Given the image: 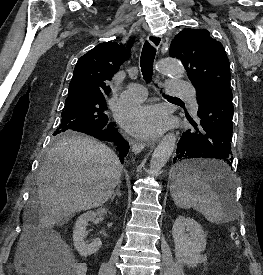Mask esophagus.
<instances>
[{
  "instance_id": "esophagus-1",
  "label": "esophagus",
  "mask_w": 263,
  "mask_h": 275,
  "mask_svg": "<svg viewBox=\"0 0 263 275\" xmlns=\"http://www.w3.org/2000/svg\"><path fill=\"white\" fill-rule=\"evenodd\" d=\"M148 41L157 50L160 48L161 43H162L161 37L158 35H155V34H149ZM155 142H156V140L148 141L147 143L133 140L131 142V148H132V151L134 154H139L144 149L145 146L154 145Z\"/></svg>"
}]
</instances>
